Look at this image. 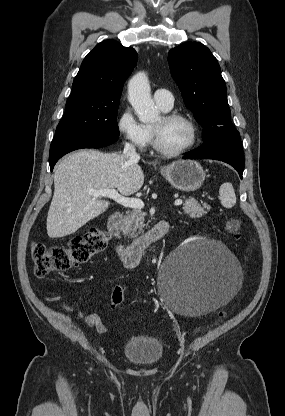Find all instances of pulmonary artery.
Returning a JSON list of instances; mask_svg holds the SVG:
<instances>
[{
  "label": "pulmonary artery",
  "mask_w": 285,
  "mask_h": 416,
  "mask_svg": "<svg viewBox=\"0 0 285 416\" xmlns=\"http://www.w3.org/2000/svg\"><path fill=\"white\" fill-rule=\"evenodd\" d=\"M154 99L164 110H169L173 107L174 95L169 92L168 87H159L154 93Z\"/></svg>",
  "instance_id": "e3ab8cb5"
}]
</instances>
